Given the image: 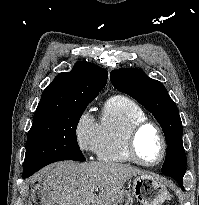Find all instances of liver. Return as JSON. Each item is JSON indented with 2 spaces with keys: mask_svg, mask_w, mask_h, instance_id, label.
I'll return each instance as SVG.
<instances>
[{
  "mask_svg": "<svg viewBox=\"0 0 199 205\" xmlns=\"http://www.w3.org/2000/svg\"><path fill=\"white\" fill-rule=\"evenodd\" d=\"M141 174L121 163L61 161L45 167L34 180L42 186L45 205H111L125 182Z\"/></svg>",
  "mask_w": 199,
  "mask_h": 205,
  "instance_id": "1",
  "label": "liver"
}]
</instances>
